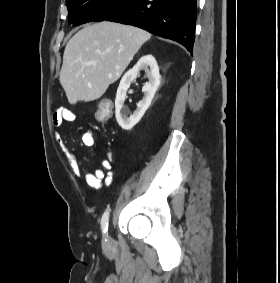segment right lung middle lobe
Listing matches in <instances>:
<instances>
[{
    "instance_id": "right-lung-middle-lobe-1",
    "label": "right lung middle lobe",
    "mask_w": 280,
    "mask_h": 283,
    "mask_svg": "<svg viewBox=\"0 0 280 283\" xmlns=\"http://www.w3.org/2000/svg\"><path fill=\"white\" fill-rule=\"evenodd\" d=\"M132 0H66L68 20L74 26L103 21Z\"/></svg>"
}]
</instances>
